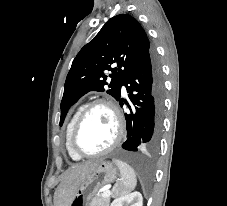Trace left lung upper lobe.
Here are the masks:
<instances>
[{"instance_id":"5c2ea615","label":"left lung upper lobe","mask_w":227,"mask_h":206,"mask_svg":"<svg viewBox=\"0 0 227 206\" xmlns=\"http://www.w3.org/2000/svg\"><path fill=\"white\" fill-rule=\"evenodd\" d=\"M151 50L135 18L127 14L112 17L73 60L61 101L60 126L69 108L89 91L103 92L108 86L107 93L118 101L124 78ZM108 76L112 78L110 83Z\"/></svg>"}]
</instances>
